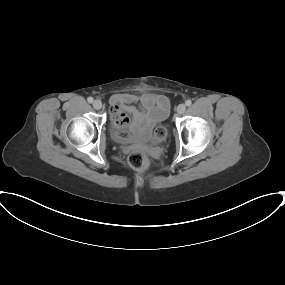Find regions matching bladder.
<instances>
[{
  "instance_id": "bladder-1",
  "label": "bladder",
  "mask_w": 285,
  "mask_h": 285,
  "mask_svg": "<svg viewBox=\"0 0 285 285\" xmlns=\"http://www.w3.org/2000/svg\"><path fill=\"white\" fill-rule=\"evenodd\" d=\"M167 117V114H163L161 120H164ZM112 133L113 136L119 141H129V142H140V141H147L150 139L148 134L140 133V132H132L126 133L120 127L116 125L112 126Z\"/></svg>"
}]
</instances>
